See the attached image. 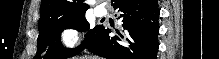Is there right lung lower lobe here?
Listing matches in <instances>:
<instances>
[{
    "mask_svg": "<svg viewBox=\"0 0 219 59\" xmlns=\"http://www.w3.org/2000/svg\"><path fill=\"white\" fill-rule=\"evenodd\" d=\"M123 30L101 28L98 37L86 48L108 59H156L159 14L157 0H112Z\"/></svg>",
    "mask_w": 219,
    "mask_h": 59,
    "instance_id": "right-lung-lower-lobe-1",
    "label": "right lung lower lobe"
}]
</instances>
